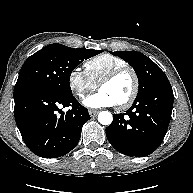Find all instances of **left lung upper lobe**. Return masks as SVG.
Segmentation results:
<instances>
[{
	"mask_svg": "<svg viewBox=\"0 0 193 193\" xmlns=\"http://www.w3.org/2000/svg\"><path fill=\"white\" fill-rule=\"evenodd\" d=\"M128 62L135 70L139 90L137 97L144 95L149 89L167 78L166 74L147 56L137 51L110 52Z\"/></svg>",
	"mask_w": 193,
	"mask_h": 193,
	"instance_id": "left-lung-upper-lobe-1",
	"label": "left lung upper lobe"
}]
</instances>
